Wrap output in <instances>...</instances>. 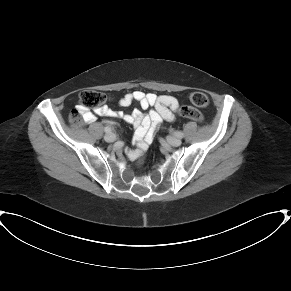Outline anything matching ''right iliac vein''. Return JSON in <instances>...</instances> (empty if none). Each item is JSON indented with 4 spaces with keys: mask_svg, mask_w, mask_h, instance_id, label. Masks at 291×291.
<instances>
[{
    "mask_svg": "<svg viewBox=\"0 0 291 291\" xmlns=\"http://www.w3.org/2000/svg\"><path fill=\"white\" fill-rule=\"evenodd\" d=\"M105 141L114 142L116 140V136L113 133H108L104 136Z\"/></svg>",
    "mask_w": 291,
    "mask_h": 291,
    "instance_id": "right-iliac-vein-1",
    "label": "right iliac vein"
}]
</instances>
